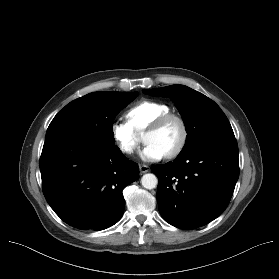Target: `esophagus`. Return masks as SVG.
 <instances>
[{"mask_svg":"<svg viewBox=\"0 0 279 279\" xmlns=\"http://www.w3.org/2000/svg\"><path fill=\"white\" fill-rule=\"evenodd\" d=\"M139 168L141 173H147L150 170V168L147 165H140Z\"/></svg>","mask_w":279,"mask_h":279,"instance_id":"obj_1","label":"esophagus"}]
</instances>
